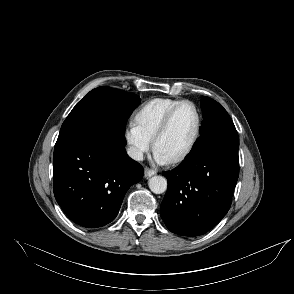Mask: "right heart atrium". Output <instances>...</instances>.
Masks as SVG:
<instances>
[{
  "label": "right heart atrium",
  "instance_id": "d8ad5b80",
  "mask_svg": "<svg viewBox=\"0 0 294 294\" xmlns=\"http://www.w3.org/2000/svg\"><path fill=\"white\" fill-rule=\"evenodd\" d=\"M123 136L129 155L134 160H142L151 148L152 140L142 132L135 122L127 123Z\"/></svg>",
  "mask_w": 294,
  "mask_h": 294
}]
</instances>
